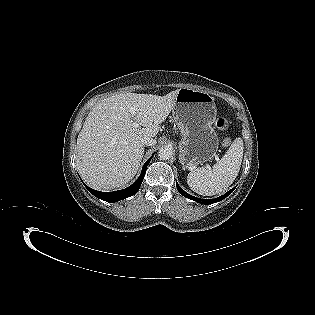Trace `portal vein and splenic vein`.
I'll return each mask as SVG.
<instances>
[{
    "instance_id": "1",
    "label": "portal vein and splenic vein",
    "mask_w": 315,
    "mask_h": 315,
    "mask_svg": "<svg viewBox=\"0 0 315 315\" xmlns=\"http://www.w3.org/2000/svg\"><path fill=\"white\" fill-rule=\"evenodd\" d=\"M129 112L131 113L132 116L136 115V109L135 108H130ZM135 126L138 127L139 125L137 123H135Z\"/></svg>"
}]
</instances>
